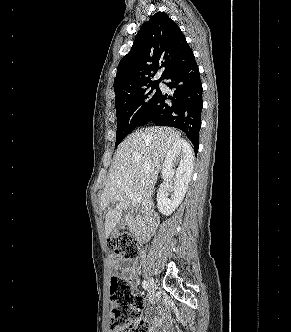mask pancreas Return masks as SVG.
I'll list each match as a JSON object with an SVG mask.
<instances>
[{
    "label": "pancreas",
    "instance_id": "1",
    "mask_svg": "<svg viewBox=\"0 0 291 332\" xmlns=\"http://www.w3.org/2000/svg\"><path fill=\"white\" fill-rule=\"evenodd\" d=\"M130 229H131L132 231H135V230H136V225H135L134 223H131V224H130Z\"/></svg>",
    "mask_w": 291,
    "mask_h": 332
}]
</instances>
